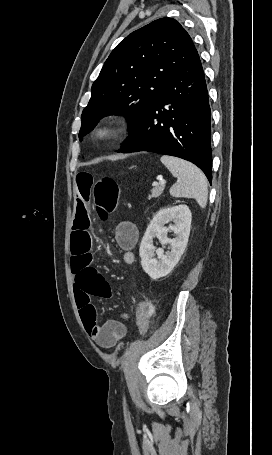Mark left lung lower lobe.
I'll return each mask as SVG.
<instances>
[{
	"instance_id": "1",
	"label": "left lung lower lobe",
	"mask_w": 272,
	"mask_h": 455,
	"mask_svg": "<svg viewBox=\"0 0 272 455\" xmlns=\"http://www.w3.org/2000/svg\"><path fill=\"white\" fill-rule=\"evenodd\" d=\"M211 111L199 55L175 73L118 152L149 151L197 165L212 180Z\"/></svg>"
}]
</instances>
